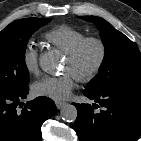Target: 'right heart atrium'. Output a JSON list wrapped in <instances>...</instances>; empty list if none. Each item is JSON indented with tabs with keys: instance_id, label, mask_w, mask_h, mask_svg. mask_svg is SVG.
<instances>
[{
	"instance_id": "d8ad5b80",
	"label": "right heart atrium",
	"mask_w": 141,
	"mask_h": 141,
	"mask_svg": "<svg viewBox=\"0 0 141 141\" xmlns=\"http://www.w3.org/2000/svg\"><path fill=\"white\" fill-rule=\"evenodd\" d=\"M22 62L25 70L29 74H37L39 71L38 50L32 45L27 44L23 50Z\"/></svg>"
}]
</instances>
